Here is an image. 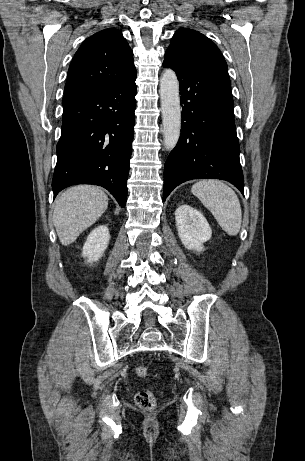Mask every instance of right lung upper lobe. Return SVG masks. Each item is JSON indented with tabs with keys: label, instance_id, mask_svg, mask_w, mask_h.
Wrapping results in <instances>:
<instances>
[{
	"label": "right lung upper lobe",
	"instance_id": "cb5924a9",
	"mask_svg": "<svg viewBox=\"0 0 305 461\" xmlns=\"http://www.w3.org/2000/svg\"><path fill=\"white\" fill-rule=\"evenodd\" d=\"M136 76L133 52L121 32L109 28L87 38L68 70L65 95L108 88Z\"/></svg>",
	"mask_w": 305,
	"mask_h": 461
}]
</instances>
